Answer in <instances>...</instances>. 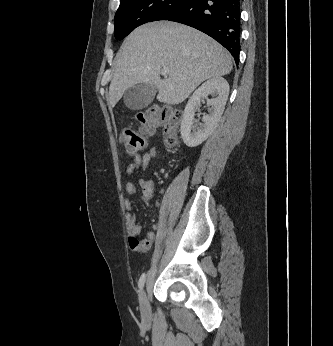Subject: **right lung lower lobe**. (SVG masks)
<instances>
[{"instance_id":"obj_1","label":"right lung lower lobe","mask_w":333,"mask_h":346,"mask_svg":"<svg viewBox=\"0 0 333 346\" xmlns=\"http://www.w3.org/2000/svg\"><path fill=\"white\" fill-rule=\"evenodd\" d=\"M240 0H184L165 20L194 27L214 38L234 57L240 52Z\"/></svg>"}]
</instances>
